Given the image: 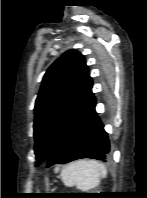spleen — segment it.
Wrapping results in <instances>:
<instances>
[{"label": "spleen", "mask_w": 147, "mask_h": 198, "mask_svg": "<svg viewBox=\"0 0 147 198\" xmlns=\"http://www.w3.org/2000/svg\"><path fill=\"white\" fill-rule=\"evenodd\" d=\"M107 175L106 167L96 160H79L72 162L61 170V179L65 186H75L81 191L97 187L100 179Z\"/></svg>", "instance_id": "3e777b00"}]
</instances>
